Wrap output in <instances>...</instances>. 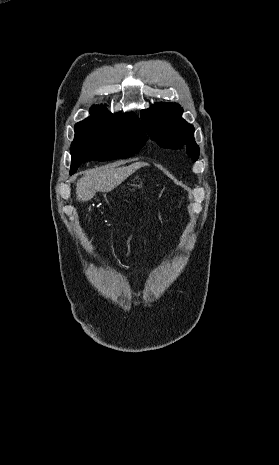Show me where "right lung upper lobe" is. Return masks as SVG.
I'll return each mask as SVG.
<instances>
[{
    "instance_id": "1",
    "label": "right lung upper lobe",
    "mask_w": 279,
    "mask_h": 465,
    "mask_svg": "<svg viewBox=\"0 0 279 465\" xmlns=\"http://www.w3.org/2000/svg\"><path fill=\"white\" fill-rule=\"evenodd\" d=\"M97 125H128L140 128L144 132L140 120L133 113H127L121 117L119 114L110 113L101 105L92 106L90 109V117L78 122L75 125V130L86 129Z\"/></svg>"
}]
</instances>
